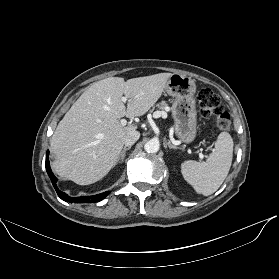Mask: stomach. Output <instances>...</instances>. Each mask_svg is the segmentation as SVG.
Here are the masks:
<instances>
[{
    "instance_id": "0dacf381",
    "label": "stomach",
    "mask_w": 279,
    "mask_h": 279,
    "mask_svg": "<svg viewBox=\"0 0 279 279\" xmlns=\"http://www.w3.org/2000/svg\"><path fill=\"white\" fill-rule=\"evenodd\" d=\"M165 91L173 97L172 116L177 137L185 143L196 137V84L193 79L180 74H172Z\"/></svg>"
}]
</instances>
